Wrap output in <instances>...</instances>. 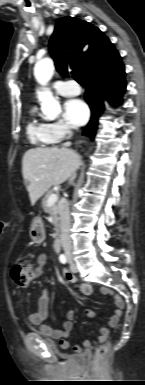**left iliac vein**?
Listing matches in <instances>:
<instances>
[{"mask_svg":"<svg viewBox=\"0 0 145 385\" xmlns=\"http://www.w3.org/2000/svg\"><path fill=\"white\" fill-rule=\"evenodd\" d=\"M68 261L70 263V270L73 273H76L77 272V267H76L75 263L73 262L72 257H68Z\"/></svg>","mask_w":145,"mask_h":385,"instance_id":"1","label":"left iliac vein"}]
</instances>
